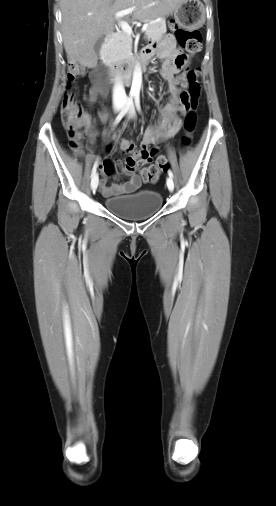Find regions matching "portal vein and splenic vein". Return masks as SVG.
<instances>
[{
    "label": "portal vein and splenic vein",
    "instance_id": "18ae733b",
    "mask_svg": "<svg viewBox=\"0 0 276 506\" xmlns=\"http://www.w3.org/2000/svg\"><path fill=\"white\" fill-rule=\"evenodd\" d=\"M136 8L135 7H130L128 9H124V10H121L119 12H117L115 14V16L117 18H120L124 15H127V14H130L132 13ZM147 25L148 24H145L143 27H142V32H145L147 30ZM119 26L121 27V29L127 33L128 35H131L132 34V28L130 27V25L124 21H119Z\"/></svg>",
    "mask_w": 276,
    "mask_h": 506
}]
</instances>
